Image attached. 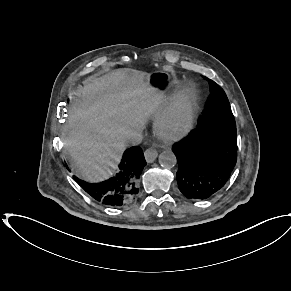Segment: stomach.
Wrapping results in <instances>:
<instances>
[{
  "label": "stomach",
  "instance_id": "0dacf381",
  "mask_svg": "<svg viewBox=\"0 0 291 291\" xmlns=\"http://www.w3.org/2000/svg\"><path fill=\"white\" fill-rule=\"evenodd\" d=\"M122 74L127 76L129 74V70L124 68L122 70ZM172 76L168 72L164 71H155L149 74L147 79L148 84L157 90H165L169 87Z\"/></svg>",
  "mask_w": 291,
  "mask_h": 291
}]
</instances>
